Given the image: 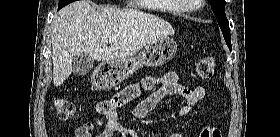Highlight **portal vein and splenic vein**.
Wrapping results in <instances>:
<instances>
[{
	"label": "portal vein and splenic vein",
	"instance_id": "1",
	"mask_svg": "<svg viewBox=\"0 0 280 137\" xmlns=\"http://www.w3.org/2000/svg\"><path fill=\"white\" fill-rule=\"evenodd\" d=\"M114 41H117V37H116V36L111 37V38L109 39V42H114Z\"/></svg>",
	"mask_w": 280,
	"mask_h": 137
}]
</instances>
